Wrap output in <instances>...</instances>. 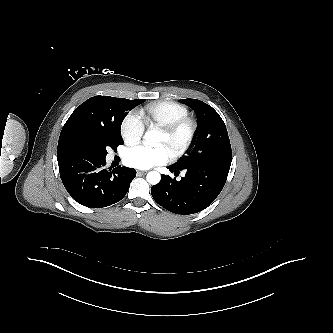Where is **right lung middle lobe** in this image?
<instances>
[{"label": "right lung middle lobe", "mask_w": 333, "mask_h": 333, "mask_svg": "<svg viewBox=\"0 0 333 333\" xmlns=\"http://www.w3.org/2000/svg\"><path fill=\"white\" fill-rule=\"evenodd\" d=\"M143 102V99L113 97L109 116L105 121L86 122L73 134L74 152L105 158L107 149L116 150L118 145L124 143L120 132L122 121L129 111Z\"/></svg>", "instance_id": "dd1d6c3e"}]
</instances>
